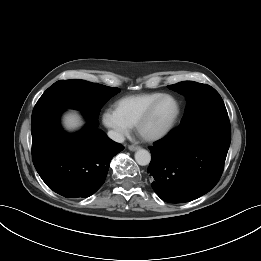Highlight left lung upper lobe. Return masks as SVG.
<instances>
[{
  "label": "left lung upper lobe",
  "mask_w": 261,
  "mask_h": 261,
  "mask_svg": "<svg viewBox=\"0 0 261 261\" xmlns=\"http://www.w3.org/2000/svg\"><path fill=\"white\" fill-rule=\"evenodd\" d=\"M168 88L182 94L187 99L180 127L187 126L202 118L227 114L221 96L209 85L183 81L169 85Z\"/></svg>",
  "instance_id": "5c2ea615"
}]
</instances>
